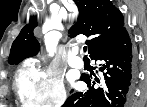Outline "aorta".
<instances>
[{
	"mask_svg": "<svg viewBox=\"0 0 147 107\" xmlns=\"http://www.w3.org/2000/svg\"><path fill=\"white\" fill-rule=\"evenodd\" d=\"M60 34L58 32H50L45 39L46 49L50 56H53L56 51V45Z\"/></svg>",
	"mask_w": 147,
	"mask_h": 107,
	"instance_id": "obj_1",
	"label": "aorta"
}]
</instances>
